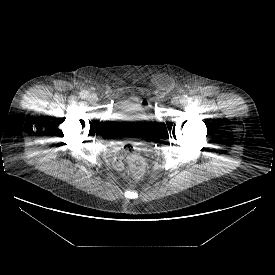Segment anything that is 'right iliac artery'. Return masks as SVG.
<instances>
[{
	"mask_svg": "<svg viewBox=\"0 0 275 275\" xmlns=\"http://www.w3.org/2000/svg\"><path fill=\"white\" fill-rule=\"evenodd\" d=\"M80 96H81V98L85 99V98L88 97V92H87V91H82V92L80 93Z\"/></svg>",
	"mask_w": 275,
	"mask_h": 275,
	"instance_id": "1",
	"label": "right iliac artery"
}]
</instances>
